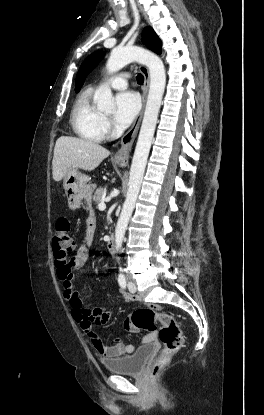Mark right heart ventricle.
<instances>
[{"mask_svg":"<svg viewBox=\"0 0 264 415\" xmlns=\"http://www.w3.org/2000/svg\"><path fill=\"white\" fill-rule=\"evenodd\" d=\"M92 92L83 91L76 99L71 111V126L81 139L102 142L105 137L103 116L92 102Z\"/></svg>","mask_w":264,"mask_h":415,"instance_id":"obj_1","label":"right heart ventricle"}]
</instances>
